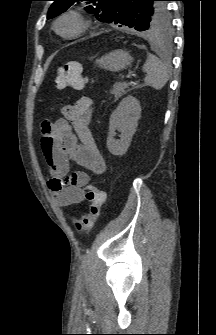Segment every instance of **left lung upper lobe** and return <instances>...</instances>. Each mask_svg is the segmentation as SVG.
I'll use <instances>...</instances> for the list:
<instances>
[{
  "mask_svg": "<svg viewBox=\"0 0 216 335\" xmlns=\"http://www.w3.org/2000/svg\"><path fill=\"white\" fill-rule=\"evenodd\" d=\"M47 19L63 13L77 1H87L85 10L102 22L127 26L148 33H167L171 29L167 0H53Z\"/></svg>",
  "mask_w": 216,
  "mask_h": 335,
  "instance_id": "obj_1",
  "label": "left lung upper lobe"
}]
</instances>
